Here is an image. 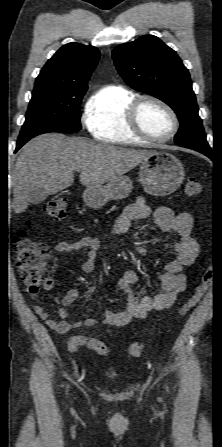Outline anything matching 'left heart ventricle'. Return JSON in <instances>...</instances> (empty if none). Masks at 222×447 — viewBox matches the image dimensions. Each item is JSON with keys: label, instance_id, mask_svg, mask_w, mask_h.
<instances>
[{"label": "left heart ventricle", "instance_id": "b2bd125f", "mask_svg": "<svg viewBox=\"0 0 222 447\" xmlns=\"http://www.w3.org/2000/svg\"><path fill=\"white\" fill-rule=\"evenodd\" d=\"M139 120L143 129L155 138L167 136L172 129V121L168 113L152 102L142 105Z\"/></svg>", "mask_w": 222, "mask_h": 447}]
</instances>
